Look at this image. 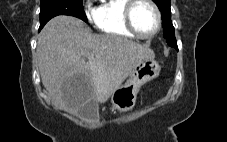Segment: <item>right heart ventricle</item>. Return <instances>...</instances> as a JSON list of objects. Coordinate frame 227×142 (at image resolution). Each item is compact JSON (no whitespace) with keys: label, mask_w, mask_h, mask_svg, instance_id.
Instances as JSON below:
<instances>
[{"label":"right heart ventricle","mask_w":227,"mask_h":142,"mask_svg":"<svg viewBox=\"0 0 227 142\" xmlns=\"http://www.w3.org/2000/svg\"><path fill=\"white\" fill-rule=\"evenodd\" d=\"M128 0H103L94 13L97 29L107 35L134 38L124 22V7Z\"/></svg>","instance_id":"obj_1"}]
</instances>
